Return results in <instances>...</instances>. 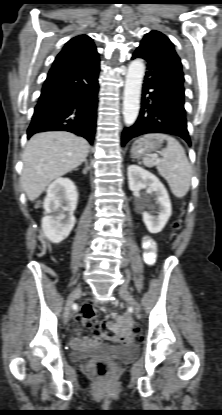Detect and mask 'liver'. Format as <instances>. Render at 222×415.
<instances>
[{
    "instance_id": "6515ba94",
    "label": "liver",
    "mask_w": 222,
    "mask_h": 415,
    "mask_svg": "<svg viewBox=\"0 0 222 415\" xmlns=\"http://www.w3.org/2000/svg\"><path fill=\"white\" fill-rule=\"evenodd\" d=\"M89 143L65 131L38 133L23 153L21 186L30 201L36 200L55 179L86 160Z\"/></svg>"
}]
</instances>
